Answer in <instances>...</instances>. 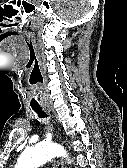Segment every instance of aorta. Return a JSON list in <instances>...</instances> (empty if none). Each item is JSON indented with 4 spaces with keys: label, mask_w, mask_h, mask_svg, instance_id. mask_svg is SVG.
I'll list each match as a JSON object with an SVG mask.
<instances>
[{
    "label": "aorta",
    "mask_w": 127,
    "mask_h": 168,
    "mask_svg": "<svg viewBox=\"0 0 127 168\" xmlns=\"http://www.w3.org/2000/svg\"><path fill=\"white\" fill-rule=\"evenodd\" d=\"M56 156L68 157L63 147L56 144L40 143L34 147L26 148L15 168H37Z\"/></svg>",
    "instance_id": "obj_1"
}]
</instances>
